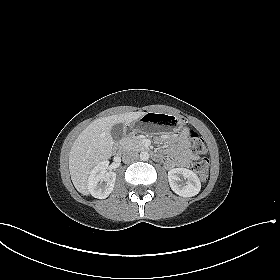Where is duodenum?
I'll return each mask as SVG.
<instances>
[{"instance_id":"410a0bca","label":"duodenum","mask_w":280,"mask_h":280,"mask_svg":"<svg viewBox=\"0 0 280 280\" xmlns=\"http://www.w3.org/2000/svg\"><path fill=\"white\" fill-rule=\"evenodd\" d=\"M123 149V144H119L117 146V150L120 151ZM151 156L155 159H160L161 158V154H159L158 152H151Z\"/></svg>"}]
</instances>
